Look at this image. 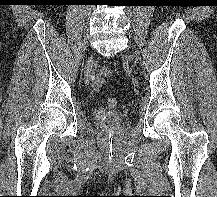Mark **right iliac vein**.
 <instances>
[{"mask_svg":"<svg viewBox=\"0 0 217 197\" xmlns=\"http://www.w3.org/2000/svg\"><path fill=\"white\" fill-rule=\"evenodd\" d=\"M93 66H94V58H93V55H90L86 61L85 68H84L85 76L91 73Z\"/></svg>","mask_w":217,"mask_h":197,"instance_id":"right-iliac-vein-1","label":"right iliac vein"}]
</instances>
